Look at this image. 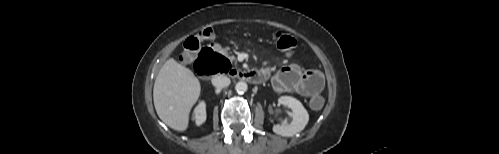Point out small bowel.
Here are the masks:
<instances>
[{
	"instance_id": "small-bowel-1",
	"label": "small bowel",
	"mask_w": 499,
	"mask_h": 154,
	"mask_svg": "<svg viewBox=\"0 0 499 154\" xmlns=\"http://www.w3.org/2000/svg\"><path fill=\"white\" fill-rule=\"evenodd\" d=\"M266 79L270 76V68L260 70ZM273 89L278 93L295 92L304 97L320 94L324 87L322 74L315 70H303L297 64L283 67L271 79Z\"/></svg>"
}]
</instances>
